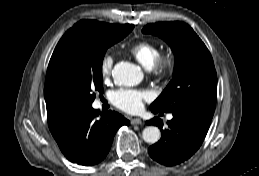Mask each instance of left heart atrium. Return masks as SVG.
<instances>
[{
    "mask_svg": "<svg viewBox=\"0 0 259 176\" xmlns=\"http://www.w3.org/2000/svg\"><path fill=\"white\" fill-rule=\"evenodd\" d=\"M149 98L150 94L146 90L121 88L111 93L113 105L127 113L139 112L143 107V101Z\"/></svg>",
    "mask_w": 259,
    "mask_h": 176,
    "instance_id": "obj_1",
    "label": "left heart atrium"
}]
</instances>
